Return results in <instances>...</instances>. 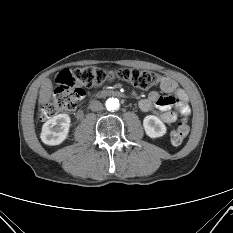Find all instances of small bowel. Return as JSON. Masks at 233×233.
<instances>
[{"label":"small bowel","mask_w":233,"mask_h":233,"mask_svg":"<svg viewBox=\"0 0 233 233\" xmlns=\"http://www.w3.org/2000/svg\"><path fill=\"white\" fill-rule=\"evenodd\" d=\"M158 85L165 93L171 96H163L153 91L145 99L139 102V108L143 112H152L164 123L187 122L190 115L189 98L187 93L171 78L163 76Z\"/></svg>","instance_id":"c3829d8e"}]
</instances>
